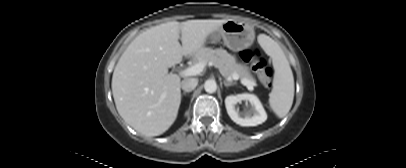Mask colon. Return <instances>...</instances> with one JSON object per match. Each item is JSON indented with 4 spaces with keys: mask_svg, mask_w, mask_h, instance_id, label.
I'll return each instance as SVG.
<instances>
[{
    "mask_svg": "<svg viewBox=\"0 0 406 168\" xmlns=\"http://www.w3.org/2000/svg\"><path fill=\"white\" fill-rule=\"evenodd\" d=\"M240 55L243 60L251 63L261 82L265 86H269L272 81L273 71L267 66L266 61L260 56L259 51L256 49H244Z\"/></svg>",
    "mask_w": 406,
    "mask_h": 168,
    "instance_id": "1",
    "label": "colon"
}]
</instances>
